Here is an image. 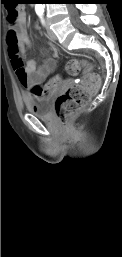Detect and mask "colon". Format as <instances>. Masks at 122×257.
I'll use <instances>...</instances> for the list:
<instances>
[{"instance_id":"1","label":"colon","mask_w":122,"mask_h":257,"mask_svg":"<svg viewBox=\"0 0 122 257\" xmlns=\"http://www.w3.org/2000/svg\"><path fill=\"white\" fill-rule=\"evenodd\" d=\"M3 10H11L9 12L10 22H14L18 17L19 5H3ZM90 64L79 59L68 61L62 70H56L54 76H49L47 82L30 83L28 90L31 98H44L45 94H49V90H61V84L64 83L65 74L78 76L85 69L82 81L79 85H75L67 89L59 95L55 101V114L64 126H67L76 113L87 105L90 97L100 86V78L97 74L90 72ZM44 87V89H43Z\"/></svg>"}]
</instances>
